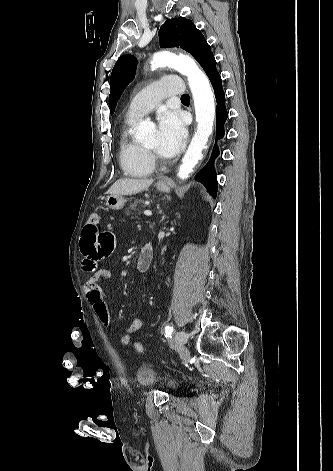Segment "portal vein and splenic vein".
<instances>
[{
    "mask_svg": "<svg viewBox=\"0 0 333 471\" xmlns=\"http://www.w3.org/2000/svg\"><path fill=\"white\" fill-rule=\"evenodd\" d=\"M144 215L146 216H151L152 215V212L150 210H145L144 211Z\"/></svg>",
    "mask_w": 333,
    "mask_h": 471,
    "instance_id": "18ae733b",
    "label": "portal vein and splenic vein"
}]
</instances>
